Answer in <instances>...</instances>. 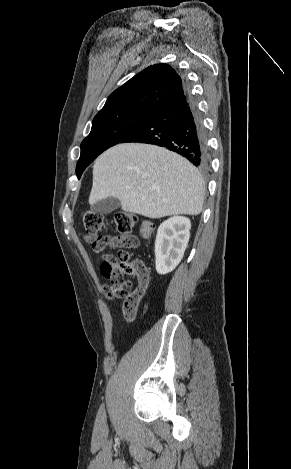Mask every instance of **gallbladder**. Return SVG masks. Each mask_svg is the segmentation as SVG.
<instances>
[{
  "label": "gallbladder",
  "mask_w": 291,
  "mask_h": 469,
  "mask_svg": "<svg viewBox=\"0 0 291 469\" xmlns=\"http://www.w3.org/2000/svg\"><path fill=\"white\" fill-rule=\"evenodd\" d=\"M121 203L115 197H108L102 200L97 201L92 205V210L99 214H110L116 209L120 208Z\"/></svg>",
  "instance_id": "gallbladder-1"
}]
</instances>
